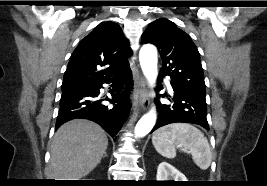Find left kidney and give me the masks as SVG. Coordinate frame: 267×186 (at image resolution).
<instances>
[{"label":"left kidney","instance_id":"5707ae66","mask_svg":"<svg viewBox=\"0 0 267 186\" xmlns=\"http://www.w3.org/2000/svg\"><path fill=\"white\" fill-rule=\"evenodd\" d=\"M157 181H187L186 177L167 162H161L157 169Z\"/></svg>","mask_w":267,"mask_h":186}]
</instances>
